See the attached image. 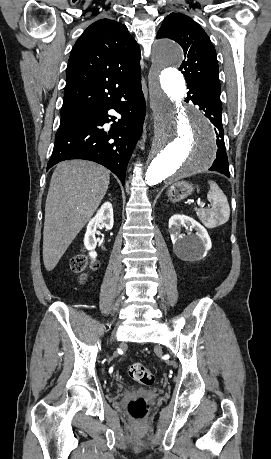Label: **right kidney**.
Instances as JSON below:
<instances>
[{"label": "right kidney", "mask_w": 271, "mask_h": 459, "mask_svg": "<svg viewBox=\"0 0 271 459\" xmlns=\"http://www.w3.org/2000/svg\"><path fill=\"white\" fill-rule=\"evenodd\" d=\"M105 226L106 229H112L114 220H113V208L110 202H105L103 206H101L100 210H98L95 218L90 220L87 231L84 235V245L86 249H90L89 255L90 257H96L97 253L94 251L97 245V239L95 237L96 228L97 226Z\"/></svg>", "instance_id": "ca27d5eb"}]
</instances>
